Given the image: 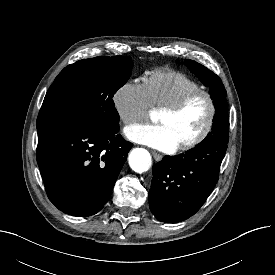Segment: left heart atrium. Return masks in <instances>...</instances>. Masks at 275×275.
I'll list each match as a JSON object with an SVG mask.
<instances>
[{
	"label": "left heart atrium",
	"instance_id": "39dd6f15",
	"mask_svg": "<svg viewBox=\"0 0 275 275\" xmlns=\"http://www.w3.org/2000/svg\"><path fill=\"white\" fill-rule=\"evenodd\" d=\"M125 134L134 142L162 151H173L179 145L170 129L160 123L133 125L125 129Z\"/></svg>",
	"mask_w": 275,
	"mask_h": 275
}]
</instances>
